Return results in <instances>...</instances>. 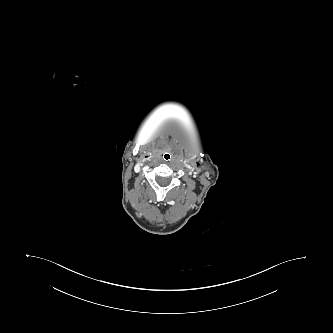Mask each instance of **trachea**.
<instances>
[{"instance_id":"trachea-1","label":"trachea","mask_w":333,"mask_h":333,"mask_svg":"<svg viewBox=\"0 0 333 333\" xmlns=\"http://www.w3.org/2000/svg\"><path fill=\"white\" fill-rule=\"evenodd\" d=\"M164 160H165L167 163H170V162H171V155H170V154H165V155H164Z\"/></svg>"}]
</instances>
